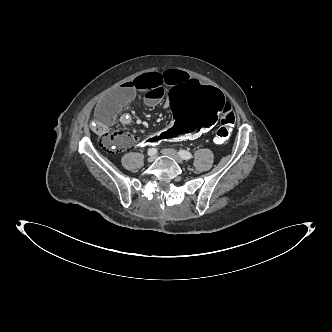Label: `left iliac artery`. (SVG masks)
<instances>
[{
  "instance_id": "1",
  "label": "left iliac artery",
  "mask_w": 332,
  "mask_h": 332,
  "mask_svg": "<svg viewBox=\"0 0 332 332\" xmlns=\"http://www.w3.org/2000/svg\"><path fill=\"white\" fill-rule=\"evenodd\" d=\"M179 155L184 160H190L193 158L192 154L186 150H180Z\"/></svg>"
}]
</instances>
